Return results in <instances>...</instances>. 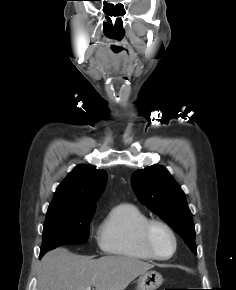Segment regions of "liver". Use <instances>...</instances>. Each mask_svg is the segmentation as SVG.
<instances>
[{
	"label": "liver",
	"instance_id": "obj_1",
	"mask_svg": "<svg viewBox=\"0 0 236 290\" xmlns=\"http://www.w3.org/2000/svg\"><path fill=\"white\" fill-rule=\"evenodd\" d=\"M153 268L126 256L92 259L65 248L47 252L37 270V290H124L131 281Z\"/></svg>",
	"mask_w": 236,
	"mask_h": 290
}]
</instances>
